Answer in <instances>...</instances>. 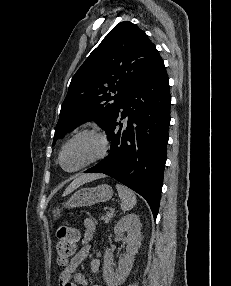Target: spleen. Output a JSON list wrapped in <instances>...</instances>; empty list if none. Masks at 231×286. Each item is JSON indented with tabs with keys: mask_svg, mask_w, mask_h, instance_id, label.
<instances>
[{
	"mask_svg": "<svg viewBox=\"0 0 231 286\" xmlns=\"http://www.w3.org/2000/svg\"><path fill=\"white\" fill-rule=\"evenodd\" d=\"M116 189L121 199V209L123 211L131 210L136 205L135 193L121 184H116Z\"/></svg>",
	"mask_w": 231,
	"mask_h": 286,
	"instance_id": "3e777b00",
	"label": "spleen"
}]
</instances>
